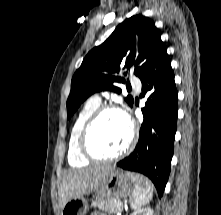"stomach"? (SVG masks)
I'll return each instance as SVG.
<instances>
[{"mask_svg": "<svg viewBox=\"0 0 221 215\" xmlns=\"http://www.w3.org/2000/svg\"><path fill=\"white\" fill-rule=\"evenodd\" d=\"M136 177L143 178L129 172L112 170L96 190V200L120 199L129 196L135 188ZM87 210L88 202L83 196H80L69 200L61 209V215H85Z\"/></svg>", "mask_w": 221, "mask_h": 215, "instance_id": "obj_1", "label": "stomach"}]
</instances>
